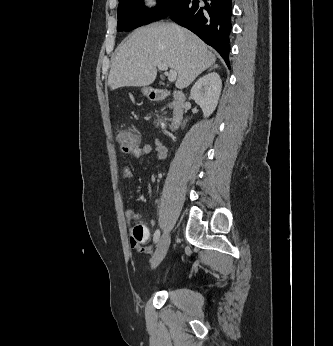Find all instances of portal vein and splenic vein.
Here are the masks:
<instances>
[{"mask_svg": "<svg viewBox=\"0 0 333 346\" xmlns=\"http://www.w3.org/2000/svg\"><path fill=\"white\" fill-rule=\"evenodd\" d=\"M157 67L159 70L161 71H165V75L168 77V80L170 82H174L177 78V73L174 70H170L169 72H167L168 67L166 64L164 63H158Z\"/></svg>", "mask_w": 333, "mask_h": 346, "instance_id": "1", "label": "portal vein and splenic vein"}]
</instances>
